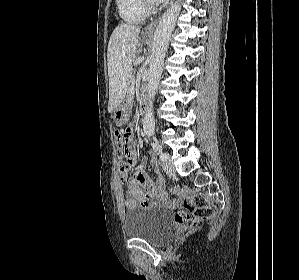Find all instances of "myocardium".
I'll list each match as a JSON object with an SVG mask.
<instances>
[{
  "label": "myocardium",
  "instance_id": "f54148a6",
  "mask_svg": "<svg viewBox=\"0 0 299 280\" xmlns=\"http://www.w3.org/2000/svg\"><path fill=\"white\" fill-rule=\"evenodd\" d=\"M141 4L148 13L156 10V6L152 0H141Z\"/></svg>",
  "mask_w": 299,
  "mask_h": 280
}]
</instances>
